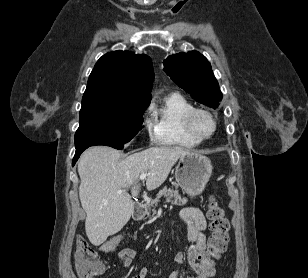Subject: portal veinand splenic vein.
Instances as JSON below:
<instances>
[{
  "label": "portal vein and splenic vein",
  "instance_id": "portal-vein-and-splenic-vein-1",
  "mask_svg": "<svg viewBox=\"0 0 308 278\" xmlns=\"http://www.w3.org/2000/svg\"><path fill=\"white\" fill-rule=\"evenodd\" d=\"M147 176H148V173H142V174L139 176V179H140V180H144V179L147 178ZM122 192H123L122 190L117 191L118 194H121Z\"/></svg>",
  "mask_w": 308,
  "mask_h": 278
}]
</instances>
